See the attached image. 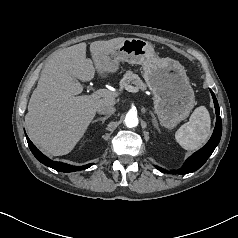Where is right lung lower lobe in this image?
Here are the masks:
<instances>
[{
  "mask_svg": "<svg viewBox=\"0 0 238 238\" xmlns=\"http://www.w3.org/2000/svg\"><path fill=\"white\" fill-rule=\"evenodd\" d=\"M28 145L30 147V150L34 154V156L44 165L51 167L57 171L61 172H73V171H79L89 168L92 164H87L86 166H72L69 164H65L62 162H55L47 158L45 155H43L36 147L33 145V143L30 141V139L27 137Z\"/></svg>",
  "mask_w": 238,
  "mask_h": 238,
  "instance_id": "obj_1",
  "label": "right lung lower lobe"
}]
</instances>
